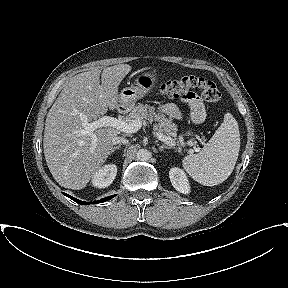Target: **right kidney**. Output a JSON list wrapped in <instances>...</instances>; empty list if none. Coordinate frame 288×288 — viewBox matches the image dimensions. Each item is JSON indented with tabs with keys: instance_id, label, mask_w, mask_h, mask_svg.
Listing matches in <instances>:
<instances>
[{
	"instance_id": "obj_1",
	"label": "right kidney",
	"mask_w": 288,
	"mask_h": 288,
	"mask_svg": "<svg viewBox=\"0 0 288 288\" xmlns=\"http://www.w3.org/2000/svg\"><path fill=\"white\" fill-rule=\"evenodd\" d=\"M117 174V167L114 164H108L100 168L92 177V184L97 188L108 187Z\"/></svg>"
}]
</instances>
